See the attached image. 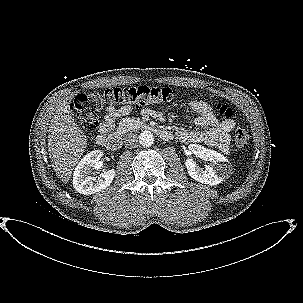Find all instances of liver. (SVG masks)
Segmentation results:
<instances>
[{
  "label": "liver",
  "mask_w": 303,
  "mask_h": 303,
  "mask_svg": "<svg viewBox=\"0 0 303 303\" xmlns=\"http://www.w3.org/2000/svg\"><path fill=\"white\" fill-rule=\"evenodd\" d=\"M72 97H64L56 106L49 126L48 152L52 167L63 183H67L85 151L87 141L70 111Z\"/></svg>",
  "instance_id": "liver-1"
}]
</instances>
